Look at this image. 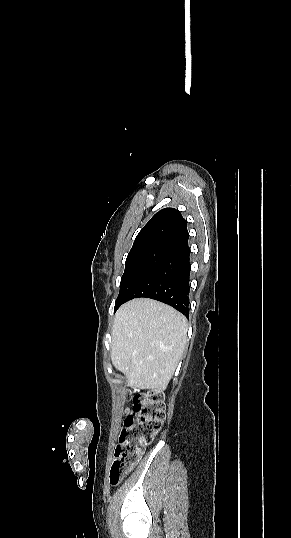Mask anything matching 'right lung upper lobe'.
Wrapping results in <instances>:
<instances>
[{"mask_svg": "<svg viewBox=\"0 0 291 538\" xmlns=\"http://www.w3.org/2000/svg\"><path fill=\"white\" fill-rule=\"evenodd\" d=\"M186 223L178 210H160L138 233L130 252L150 247L173 250L185 244L189 239Z\"/></svg>", "mask_w": 291, "mask_h": 538, "instance_id": "obj_1", "label": "right lung upper lobe"}]
</instances>
